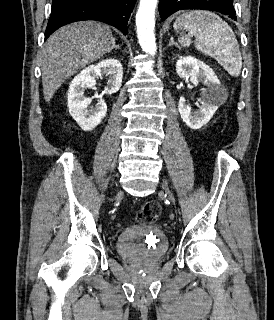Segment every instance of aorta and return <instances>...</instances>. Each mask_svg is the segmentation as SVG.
<instances>
[{"label":"aorta","instance_id":"aorta-1","mask_svg":"<svg viewBox=\"0 0 274 320\" xmlns=\"http://www.w3.org/2000/svg\"><path fill=\"white\" fill-rule=\"evenodd\" d=\"M158 0H140L136 14L137 37L144 52L154 55L156 40L154 34L155 9Z\"/></svg>","mask_w":274,"mask_h":320}]
</instances>
